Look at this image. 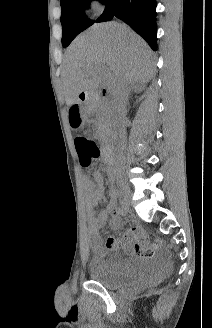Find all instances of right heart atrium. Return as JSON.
I'll list each match as a JSON object with an SVG mask.
<instances>
[{"label": "right heart atrium", "mask_w": 212, "mask_h": 328, "mask_svg": "<svg viewBox=\"0 0 212 328\" xmlns=\"http://www.w3.org/2000/svg\"><path fill=\"white\" fill-rule=\"evenodd\" d=\"M90 6L92 13L95 16L103 14L106 10V1L105 0H90Z\"/></svg>", "instance_id": "right-heart-atrium-1"}]
</instances>
